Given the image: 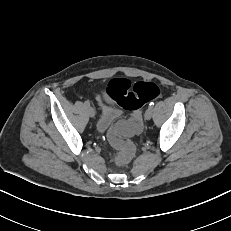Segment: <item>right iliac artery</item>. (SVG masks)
Here are the masks:
<instances>
[{
    "instance_id": "82829eb1",
    "label": "right iliac artery",
    "mask_w": 231,
    "mask_h": 231,
    "mask_svg": "<svg viewBox=\"0 0 231 231\" xmlns=\"http://www.w3.org/2000/svg\"><path fill=\"white\" fill-rule=\"evenodd\" d=\"M84 105H85L86 107L90 106L89 101H85V102H84Z\"/></svg>"
}]
</instances>
